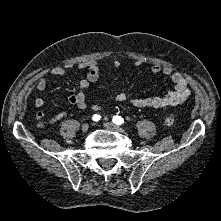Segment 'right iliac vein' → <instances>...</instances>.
Here are the masks:
<instances>
[{"label":"right iliac vein","instance_id":"right-iliac-vein-1","mask_svg":"<svg viewBox=\"0 0 221 221\" xmlns=\"http://www.w3.org/2000/svg\"><path fill=\"white\" fill-rule=\"evenodd\" d=\"M88 129H89V125H88V124H83L82 127H81V130H82V132H84V133L87 132Z\"/></svg>","mask_w":221,"mask_h":221}]
</instances>
